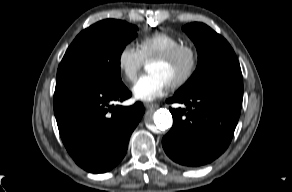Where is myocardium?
<instances>
[{
  "label": "myocardium",
  "mask_w": 292,
  "mask_h": 192,
  "mask_svg": "<svg viewBox=\"0 0 292 192\" xmlns=\"http://www.w3.org/2000/svg\"><path fill=\"white\" fill-rule=\"evenodd\" d=\"M186 53L190 58V63L185 73L171 82L169 86L177 89L186 85L195 75L199 66V53L195 46L189 43H180L169 50L152 57L150 61L170 62L176 59L180 54Z\"/></svg>",
  "instance_id": "myocardium-1"
}]
</instances>
